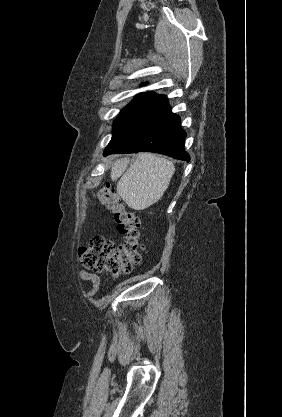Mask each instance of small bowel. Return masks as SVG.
Returning <instances> with one entry per match:
<instances>
[{"mask_svg":"<svg viewBox=\"0 0 282 417\" xmlns=\"http://www.w3.org/2000/svg\"><path fill=\"white\" fill-rule=\"evenodd\" d=\"M77 276L80 280L91 284V287L87 290V297L88 298L94 297L100 286L99 276L96 274L87 272L83 269H79L77 271Z\"/></svg>","mask_w":282,"mask_h":417,"instance_id":"small-bowel-1","label":"small bowel"}]
</instances>
